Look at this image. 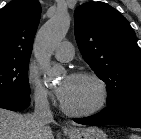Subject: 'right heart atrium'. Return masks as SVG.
Wrapping results in <instances>:
<instances>
[{"instance_id": "1", "label": "right heart atrium", "mask_w": 141, "mask_h": 139, "mask_svg": "<svg viewBox=\"0 0 141 139\" xmlns=\"http://www.w3.org/2000/svg\"><path fill=\"white\" fill-rule=\"evenodd\" d=\"M26 81L32 98L38 105L47 106L52 102V93L43 85L34 69L27 70Z\"/></svg>"}]
</instances>
